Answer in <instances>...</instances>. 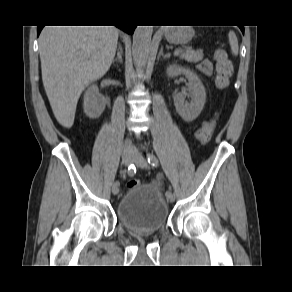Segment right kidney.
<instances>
[{
    "label": "right kidney",
    "instance_id": "1",
    "mask_svg": "<svg viewBox=\"0 0 292 292\" xmlns=\"http://www.w3.org/2000/svg\"><path fill=\"white\" fill-rule=\"evenodd\" d=\"M106 100L99 93L98 86L92 84L86 90L83 99L84 113L92 119L98 118L105 109Z\"/></svg>",
    "mask_w": 292,
    "mask_h": 292
}]
</instances>
